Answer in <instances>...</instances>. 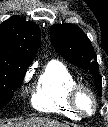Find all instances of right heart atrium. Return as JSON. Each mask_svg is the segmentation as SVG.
Returning a JSON list of instances; mask_svg holds the SVG:
<instances>
[{
    "mask_svg": "<svg viewBox=\"0 0 108 127\" xmlns=\"http://www.w3.org/2000/svg\"><path fill=\"white\" fill-rule=\"evenodd\" d=\"M30 76V73H27L26 76H25V80H27Z\"/></svg>",
    "mask_w": 108,
    "mask_h": 127,
    "instance_id": "right-heart-atrium-1",
    "label": "right heart atrium"
}]
</instances>
